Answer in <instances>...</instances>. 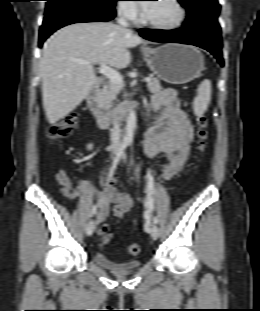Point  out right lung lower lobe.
<instances>
[{"label":"right lung lower lobe","mask_w":260,"mask_h":311,"mask_svg":"<svg viewBox=\"0 0 260 311\" xmlns=\"http://www.w3.org/2000/svg\"><path fill=\"white\" fill-rule=\"evenodd\" d=\"M45 18L40 28L39 46L57 29L79 22H105L115 17V10L92 0H47Z\"/></svg>","instance_id":"obj_1"}]
</instances>
